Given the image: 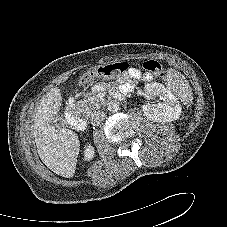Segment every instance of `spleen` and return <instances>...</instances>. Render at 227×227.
<instances>
[{"label":"spleen","mask_w":227,"mask_h":227,"mask_svg":"<svg viewBox=\"0 0 227 227\" xmlns=\"http://www.w3.org/2000/svg\"><path fill=\"white\" fill-rule=\"evenodd\" d=\"M167 89H169L184 104L192 102V89L185 77L175 71L170 70L167 79Z\"/></svg>","instance_id":"obj_1"}]
</instances>
